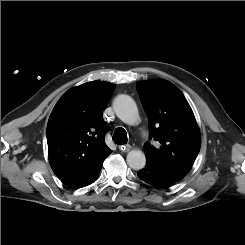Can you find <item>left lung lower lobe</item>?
Masks as SVG:
<instances>
[{"label": "left lung lower lobe", "instance_id": "obj_1", "mask_svg": "<svg viewBox=\"0 0 245 245\" xmlns=\"http://www.w3.org/2000/svg\"><path fill=\"white\" fill-rule=\"evenodd\" d=\"M137 175L142 181L162 189L169 188L184 178L181 175L170 173L147 162L146 166L137 172Z\"/></svg>", "mask_w": 245, "mask_h": 245}]
</instances>
